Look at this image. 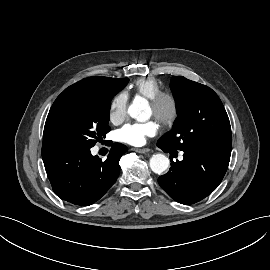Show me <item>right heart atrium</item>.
Wrapping results in <instances>:
<instances>
[{
    "label": "right heart atrium",
    "instance_id": "d8ad5b80",
    "mask_svg": "<svg viewBox=\"0 0 270 270\" xmlns=\"http://www.w3.org/2000/svg\"><path fill=\"white\" fill-rule=\"evenodd\" d=\"M128 95L126 92H118L111 100L109 105V120L118 124L122 122L127 115Z\"/></svg>",
    "mask_w": 270,
    "mask_h": 270
}]
</instances>
